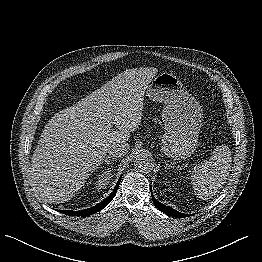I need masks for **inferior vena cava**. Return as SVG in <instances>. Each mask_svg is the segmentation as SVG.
Wrapping results in <instances>:
<instances>
[{
    "label": "inferior vena cava",
    "instance_id": "obj_1",
    "mask_svg": "<svg viewBox=\"0 0 262 262\" xmlns=\"http://www.w3.org/2000/svg\"><path fill=\"white\" fill-rule=\"evenodd\" d=\"M129 147L126 142H117L109 147L108 152L112 157H122L128 153Z\"/></svg>",
    "mask_w": 262,
    "mask_h": 262
}]
</instances>
